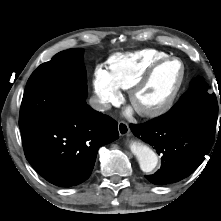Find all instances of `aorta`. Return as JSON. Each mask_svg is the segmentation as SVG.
<instances>
[{
  "mask_svg": "<svg viewBox=\"0 0 221 221\" xmlns=\"http://www.w3.org/2000/svg\"><path fill=\"white\" fill-rule=\"evenodd\" d=\"M130 150L136 156L143 172H151L156 168L157 155L148 146L134 141L130 144Z\"/></svg>",
  "mask_w": 221,
  "mask_h": 221,
  "instance_id": "obj_1",
  "label": "aorta"
}]
</instances>
